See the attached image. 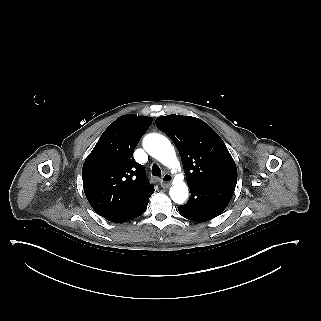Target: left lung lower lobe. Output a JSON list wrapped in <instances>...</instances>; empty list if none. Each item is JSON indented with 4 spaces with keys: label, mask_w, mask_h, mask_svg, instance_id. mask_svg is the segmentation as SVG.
<instances>
[{
    "label": "left lung lower lobe",
    "mask_w": 321,
    "mask_h": 321,
    "mask_svg": "<svg viewBox=\"0 0 321 321\" xmlns=\"http://www.w3.org/2000/svg\"><path fill=\"white\" fill-rule=\"evenodd\" d=\"M236 183L237 180H222L189 184L191 198L178 208L180 214L195 222L213 219L229 204Z\"/></svg>",
    "instance_id": "obj_1"
}]
</instances>
